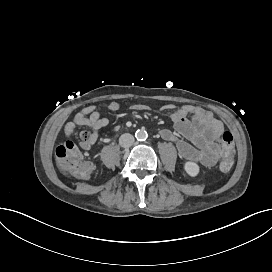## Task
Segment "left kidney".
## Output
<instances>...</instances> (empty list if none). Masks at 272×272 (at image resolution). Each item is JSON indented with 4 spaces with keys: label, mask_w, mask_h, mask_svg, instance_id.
<instances>
[{
    "label": "left kidney",
    "mask_w": 272,
    "mask_h": 272,
    "mask_svg": "<svg viewBox=\"0 0 272 272\" xmlns=\"http://www.w3.org/2000/svg\"><path fill=\"white\" fill-rule=\"evenodd\" d=\"M185 169L192 176L198 173V166L195 163H187Z\"/></svg>",
    "instance_id": "1"
}]
</instances>
